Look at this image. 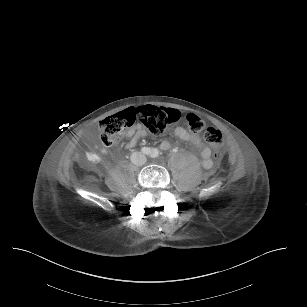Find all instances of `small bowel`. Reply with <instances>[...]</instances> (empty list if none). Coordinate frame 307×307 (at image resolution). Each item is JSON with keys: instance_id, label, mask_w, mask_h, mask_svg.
Returning <instances> with one entry per match:
<instances>
[{"instance_id": "obj_1", "label": "small bowel", "mask_w": 307, "mask_h": 307, "mask_svg": "<svg viewBox=\"0 0 307 307\" xmlns=\"http://www.w3.org/2000/svg\"><path fill=\"white\" fill-rule=\"evenodd\" d=\"M175 135L177 138L184 142H188L193 144L194 146L201 149V157L203 160V164L205 167L209 168L211 166V149L206 146L201 138V136L197 133L191 132L185 128H176ZM129 136H132V140L127 143V148H132L136 141L146 135V131L141 126L134 127L129 130L127 133ZM170 147V143L168 141H163L161 143V148L166 150ZM105 152V149L95 147L86 151V158L93 163H97L101 160V154Z\"/></svg>"}]
</instances>
